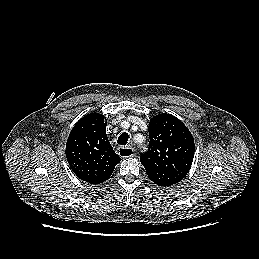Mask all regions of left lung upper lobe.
I'll list each match as a JSON object with an SVG mask.
<instances>
[{
	"mask_svg": "<svg viewBox=\"0 0 259 259\" xmlns=\"http://www.w3.org/2000/svg\"><path fill=\"white\" fill-rule=\"evenodd\" d=\"M149 149L140 156L148 176L178 175L191 167L195 144L188 128L176 117L163 113L149 122Z\"/></svg>",
	"mask_w": 259,
	"mask_h": 259,
	"instance_id": "5c2ea615",
	"label": "left lung upper lobe"
}]
</instances>
